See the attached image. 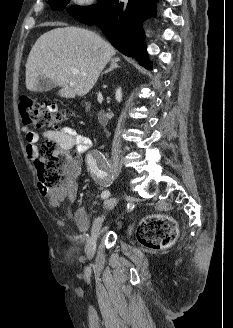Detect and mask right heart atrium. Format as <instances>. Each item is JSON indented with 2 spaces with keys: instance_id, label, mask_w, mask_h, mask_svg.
I'll return each instance as SVG.
<instances>
[{
  "instance_id": "d8ad5b80",
  "label": "right heart atrium",
  "mask_w": 233,
  "mask_h": 328,
  "mask_svg": "<svg viewBox=\"0 0 233 328\" xmlns=\"http://www.w3.org/2000/svg\"><path fill=\"white\" fill-rule=\"evenodd\" d=\"M73 2L78 6L87 7L91 6L95 0H73Z\"/></svg>"
}]
</instances>
